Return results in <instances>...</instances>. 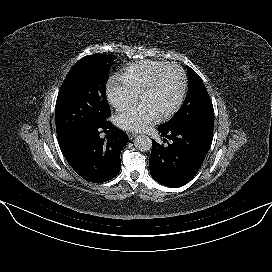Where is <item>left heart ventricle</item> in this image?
Instances as JSON below:
<instances>
[{"label": "left heart ventricle", "instance_id": "b2bd125f", "mask_svg": "<svg viewBox=\"0 0 272 272\" xmlns=\"http://www.w3.org/2000/svg\"><path fill=\"white\" fill-rule=\"evenodd\" d=\"M182 85V77L176 68L167 69L157 85L140 101L150 105L160 116L177 102Z\"/></svg>", "mask_w": 272, "mask_h": 272}]
</instances>
